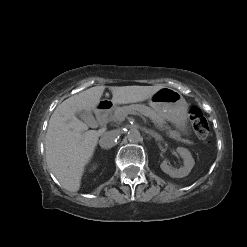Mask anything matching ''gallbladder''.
Segmentation results:
<instances>
[{"instance_id":"1","label":"gallbladder","mask_w":247,"mask_h":247,"mask_svg":"<svg viewBox=\"0 0 247 247\" xmlns=\"http://www.w3.org/2000/svg\"><path fill=\"white\" fill-rule=\"evenodd\" d=\"M76 115L78 118L82 119L88 125H92V123L94 122V117L89 111L86 110L78 111Z\"/></svg>"}]
</instances>
